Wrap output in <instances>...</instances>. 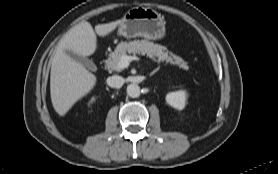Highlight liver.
I'll use <instances>...</instances> for the list:
<instances>
[{"label": "liver", "instance_id": "1", "mask_svg": "<svg viewBox=\"0 0 278 174\" xmlns=\"http://www.w3.org/2000/svg\"><path fill=\"white\" fill-rule=\"evenodd\" d=\"M122 20L92 25L83 21L71 28L57 45L50 73V94L55 111L64 116L71 107L87 95L97 78L81 63L65 53L70 50L80 56L93 55L97 48V35L105 37L113 32Z\"/></svg>", "mask_w": 278, "mask_h": 174}]
</instances>
